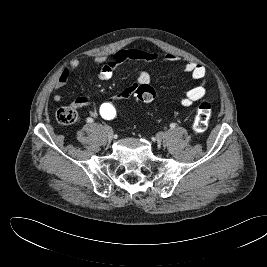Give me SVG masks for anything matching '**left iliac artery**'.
Instances as JSON below:
<instances>
[{"mask_svg":"<svg viewBox=\"0 0 267 267\" xmlns=\"http://www.w3.org/2000/svg\"><path fill=\"white\" fill-rule=\"evenodd\" d=\"M170 127H171V128H175V123H171V124H170Z\"/></svg>","mask_w":267,"mask_h":267,"instance_id":"left-iliac-artery-1","label":"left iliac artery"}]
</instances>
